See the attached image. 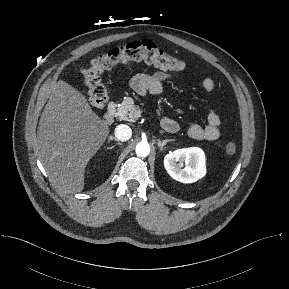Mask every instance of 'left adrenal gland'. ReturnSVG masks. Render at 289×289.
Wrapping results in <instances>:
<instances>
[{
	"mask_svg": "<svg viewBox=\"0 0 289 289\" xmlns=\"http://www.w3.org/2000/svg\"><path fill=\"white\" fill-rule=\"evenodd\" d=\"M170 141H173V140L166 139V140H163L162 142L158 140L157 145L160 148V150H163V147Z\"/></svg>",
	"mask_w": 289,
	"mask_h": 289,
	"instance_id": "1",
	"label": "left adrenal gland"
}]
</instances>
